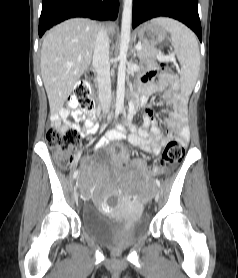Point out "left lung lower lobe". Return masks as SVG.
I'll use <instances>...</instances> for the list:
<instances>
[{
	"label": "left lung lower lobe",
	"instance_id": "1",
	"mask_svg": "<svg viewBox=\"0 0 238 278\" xmlns=\"http://www.w3.org/2000/svg\"><path fill=\"white\" fill-rule=\"evenodd\" d=\"M159 16L181 21L191 28L202 41L198 0H133V28Z\"/></svg>",
	"mask_w": 238,
	"mask_h": 278
}]
</instances>
